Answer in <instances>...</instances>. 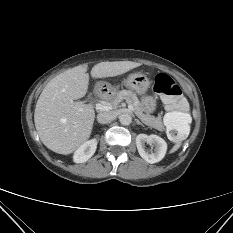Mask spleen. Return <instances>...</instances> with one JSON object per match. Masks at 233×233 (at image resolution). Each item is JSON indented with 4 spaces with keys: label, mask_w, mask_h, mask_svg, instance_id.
<instances>
[{
    "label": "spleen",
    "mask_w": 233,
    "mask_h": 233,
    "mask_svg": "<svg viewBox=\"0 0 233 233\" xmlns=\"http://www.w3.org/2000/svg\"><path fill=\"white\" fill-rule=\"evenodd\" d=\"M165 120L172 125L174 124L188 125V123L191 122V116L183 112L173 111L165 115ZM179 147H180V143L176 144L171 150V152L176 151Z\"/></svg>",
    "instance_id": "3e777b00"
}]
</instances>
